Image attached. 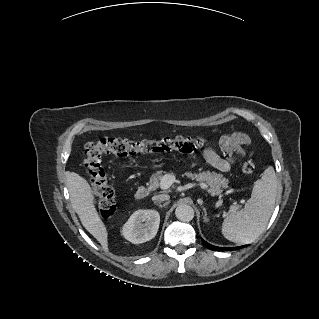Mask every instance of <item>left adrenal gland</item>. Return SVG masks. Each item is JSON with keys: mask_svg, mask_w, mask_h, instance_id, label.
<instances>
[{"mask_svg": "<svg viewBox=\"0 0 319 319\" xmlns=\"http://www.w3.org/2000/svg\"><path fill=\"white\" fill-rule=\"evenodd\" d=\"M202 208H203V211H204V217H203V219H204L205 222H208L209 219H208V216H207L206 209H205L203 206H202Z\"/></svg>", "mask_w": 319, "mask_h": 319, "instance_id": "1", "label": "left adrenal gland"}]
</instances>
